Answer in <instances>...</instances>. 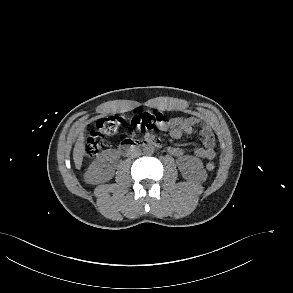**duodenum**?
<instances>
[{
	"label": "duodenum",
	"mask_w": 293,
	"mask_h": 293,
	"mask_svg": "<svg viewBox=\"0 0 293 293\" xmlns=\"http://www.w3.org/2000/svg\"><path fill=\"white\" fill-rule=\"evenodd\" d=\"M149 146L161 147L162 142L159 139L153 138L151 136H147L139 141L127 139L119 144L118 150L121 155L129 156L136 150Z\"/></svg>",
	"instance_id": "1"
}]
</instances>
